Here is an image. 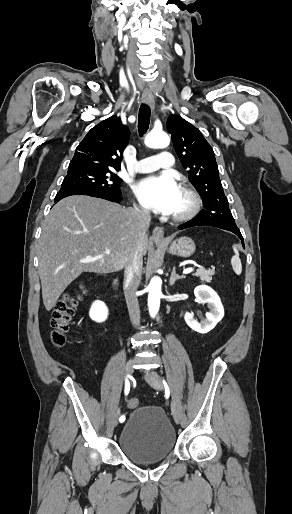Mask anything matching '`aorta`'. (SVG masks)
Wrapping results in <instances>:
<instances>
[{"instance_id": "762f6f07", "label": "aorta", "mask_w": 292, "mask_h": 514, "mask_svg": "<svg viewBox=\"0 0 292 514\" xmlns=\"http://www.w3.org/2000/svg\"><path fill=\"white\" fill-rule=\"evenodd\" d=\"M145 144L148 146V148H167V146L170 144V138L168 134H165V132H157V130H152V132L146 136ZM161 286L162 280H160V278H152L148 286V308L150 316H156L159 310L160 298L162 296Z\"/></svg>"}]
</instances>
